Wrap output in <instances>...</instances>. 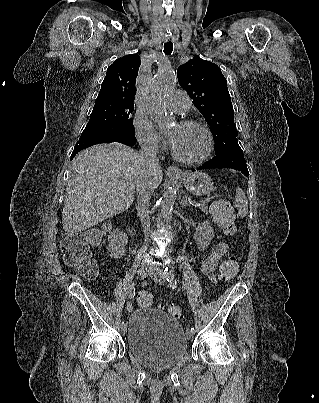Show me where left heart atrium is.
<instances>
[{"mask_svg": "<svg viewBox=\"0 0 319 403\" xmlns=\"http://www.w3.org/2000/svg\"><path fill=\"white\" fill-rule=\"evenodd\" d=\"M169 138H170V141H171V143H172V141H173V137H172V136H169Z\"/></svg>", "mask_w": 319, "mask_h": 403, "instance_id": "obj_1", "label": "left heart atrium"}]
</instances>
